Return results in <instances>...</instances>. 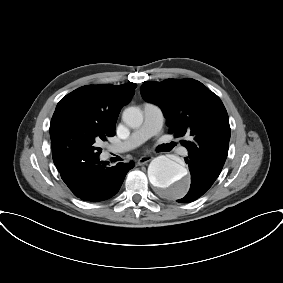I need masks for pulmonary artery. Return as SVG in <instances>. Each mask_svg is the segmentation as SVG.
Listing matches in <instances>:
<instances>
[{"mask_svg": "<svg viewBox=\"0 0 283 283\" xmlns=\"http://www.w3.org/2000/svg\"><path fill=\"white\" fill-rule=\"evenodd\" d=\"M144 122L125 141L111 147L112 152H125L131 150L148 138L160 131L163 125V112L160 106L153 103H144ZM182 154H186V148L181 149Z\"/></svg>", "mask_w": 283, "mask_h": 283, "instance_id": "1", "label": "pulmonary artery"}]
</instances>
